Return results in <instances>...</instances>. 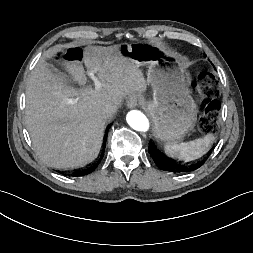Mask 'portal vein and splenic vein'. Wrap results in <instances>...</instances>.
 Segmentation results:
<instances>
[{
	"instance_id": "18ae733b",
	"label": "portal vein and splenic vein",
	"mask_w": 253,
	"mask_h": 253,
	"mask_svg": "<svg viewBox=\"0 0 253 253\" xmlns=\"http://www.w3.org/2000/svg\"><path fill=\"white\" fill-rule=\"evenodd\" d=\"M88 76L94 81L95 90H99L102 87L101 81L94 75V72H88Z\"/></svg>"
}]
</instances>
